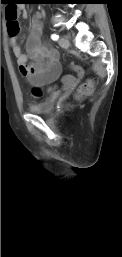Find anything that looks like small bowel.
I'll return each mask as SVG.
<instances>
[{
    "label": "small bowel",
    "instance_id": "obj_1",
    "mask_svg": "<svg viewBox=\"0 0 122 257\" xmlns=\"http://www.w3.org/2000/svg\"><path fill=\"white\" fill-rule=\"evenodd\" d=\"M17 14L23 18L28 17L24 6L18 7ZM43 24L40 14H35L32 19L30 33L27 38V51L25 54L18 41V35L10 36V46L17 59L20 73L33 85H46L54 82L61 74L59 54L56 50L47 47L41 42ZM30 58V61H29ZM46 97H49L50 89H46Z\"/></svg>",
    "mask_w": 122,
    "mask_h": 257
}]
</instances>
